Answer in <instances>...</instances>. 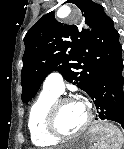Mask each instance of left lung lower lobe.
Instances as JSON below:
<instances>
[{"label":"left lung lower lobe","mask_w":124,"mask_h":149,"mask_svg":"<svg viewBox=\"0 0 124 149\" xmlns=\"http://www.w3.org/2000/svg\"><path fill=\"white\" fill-rule=\"evenodd\" d=\"M123 60L105 69L87 90L97 109L96 120H112L124 129Z\"/></svg>","instance_id":"obj_1"}]
</instances>
